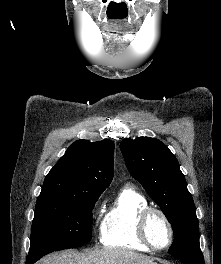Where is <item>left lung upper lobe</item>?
<instances>
[{
	"label": "left lung upper lobe",
	"mask_w": 221,
	"mask_h": 264,
	"mask_svg": "<svg viewBox=\"0 0 221 264\" xmlns=\"http://www.w3.org/2000/svg\"><path fill=\"white\" fill-rule=\"evenodd\" d=\"M126 166L171 223V255L200 253L196 209L178 161L158 139L139 137L120 143Z\"/></svg>",
	"instance_id": "1"
}]
</instances>
